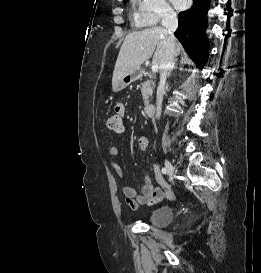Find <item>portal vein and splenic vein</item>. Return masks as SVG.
I'll return each mask as SVG.
<instances>
[{
	"mask_svg": "<svg viewBox=\"0 0 261 273\" xmlns=\"http://www.w3.org/2000/svg\"><path fill=\"white\" fill-rule=\"evenodd\" d=\"M142 50H144V48H142ZM159 69V66L157 64H153L151 67V70L153 73H156Z\"/></svg>",
	"mask_w": 261,
	"mask_h": 273,
	"instance_id": "1",
	"label": "portal vein and splenic vein"
}]
</instances>
